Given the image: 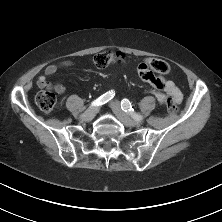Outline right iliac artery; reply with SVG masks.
Returning <instances> with one entry per match:
<instances>
[{
    "label": "right iliac artery",
    "mask_w": 222,
    "mask_h": 222,
    "mask_svg": "<svg viewBox=\"0 0 222 222\" xmlns=\"http://www.w3.org/2000/svg\"><path fill=\"white\" fill-rule=\"evenodd\" d=\"M115 95V92L113 90L108 91L106 93H104L103 95H101L99 98H97L96 100H94L92 102V105L94 106H101L105 103H107L108 101H110Z\"/></svg>",
    "instance_id": "82829eb1"
}]
</instances>
